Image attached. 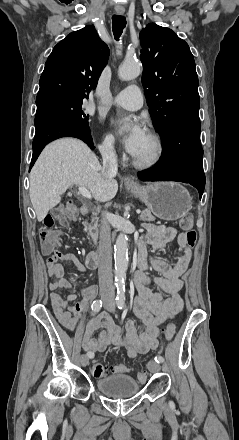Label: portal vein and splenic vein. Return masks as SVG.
<instances>
[{
	"instance_id": "portal-vein-and-splenic-vein-1",
	"label": "portal vein and splenic vein",
	"mask_w": 239,
	"mask_h": 440,
	"mask_svg": "<svg viewBox=\"0 0 239 440\" xmlns=\"http://www.w3.org/2000/svg\"><path fill=\"white\" fill-rule=\"evenodd\" d=\"M80 194H82V196H84V198H88V200H91L92 196H91V192H89V190H86V188H82V186H80V188H78ZM138 213V215H141V210L137 209L136 210Z\"/></svg>"
}]
</instances>
